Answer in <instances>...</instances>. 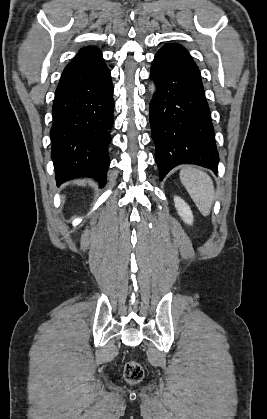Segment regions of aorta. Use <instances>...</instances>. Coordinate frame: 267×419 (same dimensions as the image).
Here are the masks:
<instances>
[{
  "label": "aorta",
  "mask_w": 267,
  "mask_h": 419,
  "mask_svg": "<svg viewBox=\"0 0 267 419\" xmlns=\"http://www.w3.org/2000/svg\"><path fill=\"white\" fill-rule=\"evenodd\" d=\"M149 88H150V91H151L152 94H154L156 92V86H155L154 83H152Z\"/></svg>",
  "instance_id": "762f6f07"
}]
</instances>
